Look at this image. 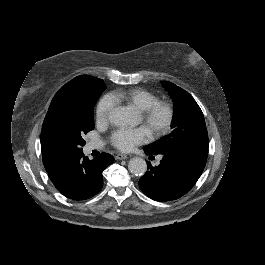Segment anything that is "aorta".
<instances>
[{"mask_svg":"<svg viewBox=\"0 0 265 265\" xmlns=\"http://www.w3.org/2000/svg\"><path fill=\"white\" fill-rule=\"evenodd\" d=\"M110 121L115 125H128L130 124V117L127 109L119 107L113 110L110 115ZM129 170L136 176H141L147 169L146 161L141 157H132L128 163Z\"/></svg>","mask_w":265,"mask_h":265,"instance_id":"1","label":"aorta"}]
</instances>
